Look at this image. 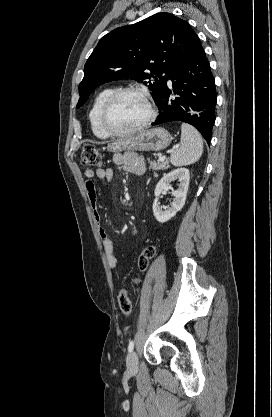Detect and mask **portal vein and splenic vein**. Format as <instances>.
I'll list each match as a JSON object with an SVG mask.
<instances>
[{
  "mask_svg": "<svg viewBox=\"0 0 272 417\" xmlns=\"http://www.w3.org/2000/svg\"><path fill=\"white\" fill-rule=\"evenodd\" d=\"M164 160H165V156H160L158 159L159 162H163Z\"/></svg>",
  "mask_w": 272,
  "mask_h": 417,
  "instance_id": "portal-vein-and-splenic-vein-1",
  "label": "portal vein and splenic vein"
}]
</instances>
